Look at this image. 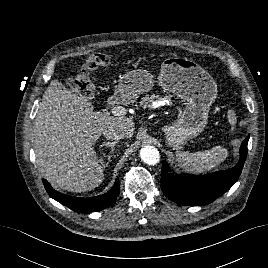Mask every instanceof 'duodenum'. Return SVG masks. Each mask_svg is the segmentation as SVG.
Segmentation results:
<instances>
[{"label": "duodenum", "instance_id": "duodenum-1", "mask_svg": "<svg viewBox=\"0 0 268 268\" xmlns=\"http://www.w3.org/2000/svg\"><path fill=\"white\" fill-rule=\"evenodd\" d=\"M119 103V96L118 95H112L109 98V105L115 106Z\"/></svg>", "mask_w": 268, "mask_h": 268}]
</instances>
